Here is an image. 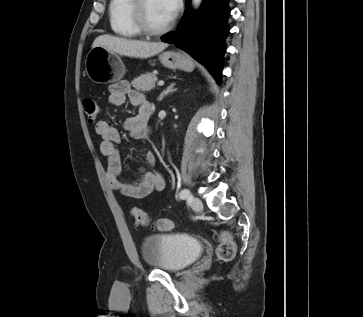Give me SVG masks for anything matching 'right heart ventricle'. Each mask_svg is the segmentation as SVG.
<instances>
[{
	"instance_id": "obj_1",
	"label": "right heart ventricle",
	"mask_w": 363,
	"mask_h": 317,
	"mask_svg": "<svg viewBox=\"0 0 363 317\" xmlns=\"http://www.w3.org/2000/svg\"><path fill=\"white\" fill-rule=\"evenodd\" d=\"M132 0H110L108 13L111 30L121 37H137L140 32L135 28L130 17Z\"/></svg>"
}]
</instances>
